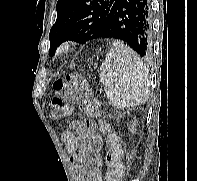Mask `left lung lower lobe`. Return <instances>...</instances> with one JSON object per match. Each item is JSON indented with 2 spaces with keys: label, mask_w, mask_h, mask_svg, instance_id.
Instances as JSON below:
<instances>
[{
  "label": "left lung lower lobe",
  "mask_w": 197,
  "mask_h": 181,
  "mask_svg": "<svg viewBox=\"0 0 197 181\" xmlns=\"http://www.w3.org/2000/svg\"><path fill=\"white\" fill-rule=\"evenodd\" d=\"M150 0H116L100 27L97 38L125 42L141 57L151 52Z\"/></svg>",
  "instance_id": "obj_1"
}]
</instances>
